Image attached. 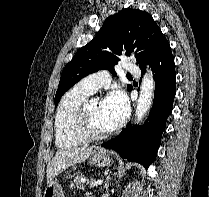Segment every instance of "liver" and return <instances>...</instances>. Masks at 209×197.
Segmentation results:
<instances>
[{
	"instance_id": "liver-1",
	"label": "liver",
	"mask_w": 209,
	"mask_h": 197,
	"mask_svg": "<svg viewBox=\"0 0 209 197\" xmlns=\"http://www.w3.org/2000/svg\"><path fill=\"white\" fill-rule=\"evenodd\" d=\"M92 150V147L58 150L47 165V184L50 183L63 170L88 159L92 153Z\"/></svg>"
}]
</instances>
